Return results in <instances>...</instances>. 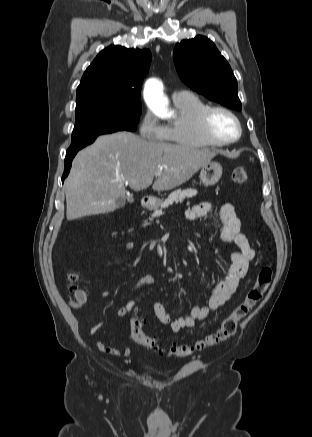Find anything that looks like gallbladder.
<instances>
[{
  "instance_id": "obj_1",
  "label": "gallbladder",
  "mask_w": 312,
  "mask_h": 437,
  "mask_svg": "<svg viewBox=\"0 0 312 437\" xmlns=\"http://www.w3.org/2000/svg\"><path fill=\"white\" fill-rule=\"evenodd\" d=\"M127 200H128V202H133V201H134V198H133L132 195H130V196L127 197ZM124 204H125V199H118V200H117V206H118V207H123Z\"/></svg>"
}]
</instances>
